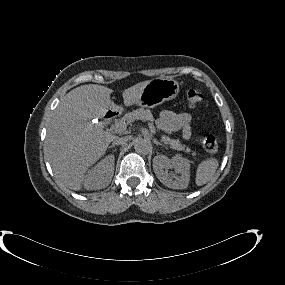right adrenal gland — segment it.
Segmentation results:
<instances>
[{"mask_svg":"<svg viewBox=\"0 0 285 285\" xmlns=\"http://www.w3.org/2000/svg\"><path fill=\"white\" fill-rule=\"evenodd\" d=\"M112 147H114V145L112 144L109 148H112Z\"/></svg>","mask_w":285,"mask_h":285,"instance_id":"obj_1","label":"right adrenal gland"}]
</instances>
